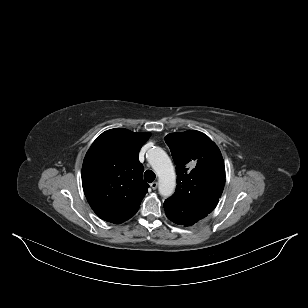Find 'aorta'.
I'll return each mask as SVG.
<instances>
[{
    "label": "aorta",
    "mask_w": 308,
    "mask_h": 308,
    "mask_svg": "<svg viewBox=\"0 0 308 308\" xmlns=\"http://www.w3.org/2000/svg\"><path fill=\"white\" fill-rule=\"evenodd\" d=\"M147 159L159 178V193L164 197L173 194L176 186V176L173 164L160 147L151 148L147 152Z\"/></svg>",
    "instance_id": "1"
}]
</instances>
